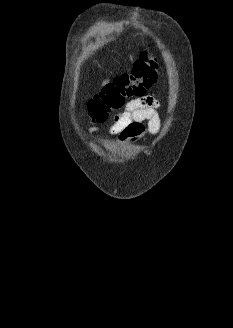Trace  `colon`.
I'll return each mask as SVG.
<instances>
[{
	"mask_svg": "<svg viewBox=\"0 0 233 328\" xmlns=\"http://www.w3.org/2000/svg\"><path fill=\"white\" fill-rule=\"evenodd\" d=\"M158 62L149 51H143L131 71L115 77L89 102V113L102 123L109 114L121 108L126 98L142 97L155 82Z\"/></svg>",
	"mask_w": 233,
	"mask_h": 328,
	"instance_id": "1",
	"label": "colon"
}]
</instances>
